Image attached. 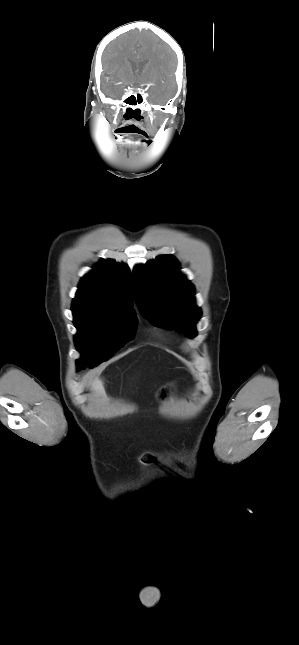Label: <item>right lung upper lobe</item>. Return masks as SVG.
<instances>
[{
	"label": "right lung upper lobe",
	"mask_w": 299,
	"mask_h": 645,
	"mask_svg": "<svg viewBox=\"0 0 299 645\" xmlns=\"http://www.w3.org/2000/svg\"><path fill=\"white\" fill-rule=\"evenodd\" d=\"M130 271L112 260H101L95 270L84 276L72 308L79 310L127 311L132 314Z\"/></svg>",
	"instance_id": "right-lung-upper-lobe-1"
}]
</instances>
